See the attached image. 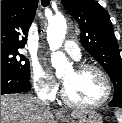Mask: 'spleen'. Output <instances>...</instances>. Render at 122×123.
<instances>
[{"instance_id": "spleen-1", "label": "spleen", "mask_w": 122, "mask_h": 123, "mask_svg": "<svg viewBox=\"0 0 122 123\" xmlns=\"http://www.w3.org/2000/svg\"><path fill=\"white\" fill-rule=\"evenodd\" d=\"M115 116L117 118L118 123H122V112L121 111H116Z\"/></svg>"}]
</instances>
